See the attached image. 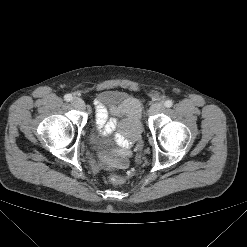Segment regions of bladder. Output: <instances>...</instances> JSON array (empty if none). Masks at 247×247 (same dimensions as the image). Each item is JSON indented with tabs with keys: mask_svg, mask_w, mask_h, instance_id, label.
<instances>
[{
	"mask_svg": "<svg viewBox=\"0 0 247 247\" xmlns=\"http://www.w3.org/2000/svg\"><path fill=\"white\" fill-rule=\"evenodd\" d=\"M131 97L121 91L117 90H104L101 91L97 98V108L104 111L106 118L99 121L96 129L89 134V143L94 151H105L112 148L110 137L114 129L108 128V122L113 117L114 111L120 109ZM141 133V128L137 127L134 134L130 137H138Z\"/></svg>",
	"mask_w": 247,
	"mask_h": 247,
	"instance_id": "1",
	"label": "bladder"
}]
</instances>
